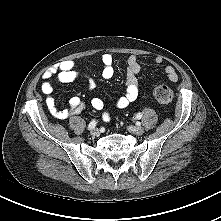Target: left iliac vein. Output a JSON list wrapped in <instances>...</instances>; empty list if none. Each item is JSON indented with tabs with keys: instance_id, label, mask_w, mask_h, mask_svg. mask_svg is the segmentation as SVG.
<instances>
[{
	"instance_id": "left-iliac-vein-1",
	"label": "left iliac vein",
	"mask_w": 221,
	"mask_h": 221,
	"mask_svg": "<svg viewBox=\"0 0 221 221\" xmlns=\"http://www.w3.org/2000/svg\"><path fill=\"white\" fill-rule=\"evenodd\" d=\"M128 130L135 135H142L144 133V129L141 126H130Z\"/></svg>"
}]
</instances>
